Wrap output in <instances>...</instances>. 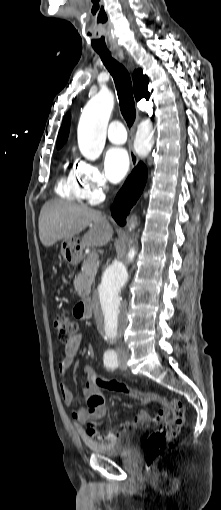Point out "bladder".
Returning a JSON list of instances; mask_svg holds the SVG:
<instances>
[{"label": "bladder", "mask_w": 221, "mask_h": 510, "mask_svg": "<svg viewBox=\"0 0 221 510\" xmlns=\"http://www.w3.org/2000/svg\"><path fill=\"white\" fill-rule=\"evenodd\" d=\"M136 435L126 433L119 438L104 443L88 442L87 446L95 453L115 458L129 454L135 447Z\"/></svg>", "instance_id": "bladder-1"}]
</instances>
